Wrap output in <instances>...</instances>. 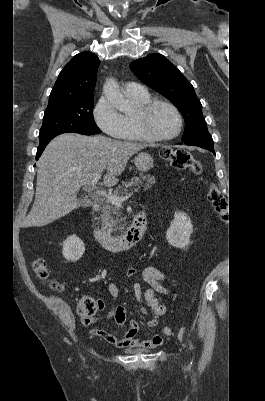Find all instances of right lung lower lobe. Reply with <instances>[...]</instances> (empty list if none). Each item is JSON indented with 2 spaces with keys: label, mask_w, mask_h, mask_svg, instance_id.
<instances>
[{
  "label": "right lung lower lobe",
  "mask_w": 265,
  "mask_h": 401,
  "mask_svg": "<svg viewBox=\"0 0 265 401\" xmlns=\"http://www.w3.org/2000/svg\"><path fill=\"white\" fill-rule=\"evenodd\" d=\"M60 134H62V133L53 134V135L50 136L49 138H47V139H45V140L39 142V146H38L37 154H36V160L39 159V157L41 156V154H42L43 150L45 149L46 145H47L54 137H56L57 135H60Z\"/></svg>",
  "instance_id": "1"
}]
</instances>
